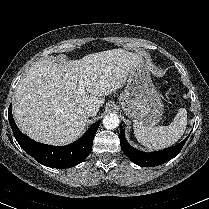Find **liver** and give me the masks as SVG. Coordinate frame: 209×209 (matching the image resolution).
I'll return each instance as SVG.
<instances>
[{
	"label": "liver",
	"mask_w": 209,
	"mask_h": 209,
	"mask_svg": "<svg viewBox=\"0 0 209 209\" xmlns=\"http://www.w3.org/2000/svg\"><path fill=\"white\" fill-rule=\"evenodd\" d=\"M142 56L124 49L92 53L79 60L35 63L18 83L12 103L21 132L50 145L69 144L82 134L87 106L100 108L105 96L121 88ZM85 82V94L78 91ZM87 93V94H86Z\"/></svg>",
	"instance_id": "1"
}]
</instances>
